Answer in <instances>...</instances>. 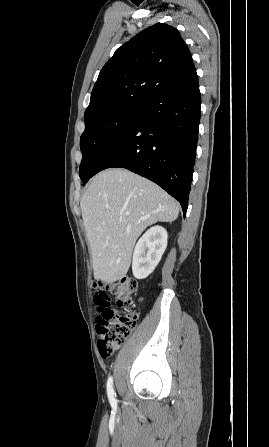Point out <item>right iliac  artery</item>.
<instances>
[{
  "instance_id": "obj_1",
  "label": "right iliac artery",
  "mask_w": 269,
  "mask_h": 447,
  "mask_svg": "<svg viewBox=\"0 0 269 447\" xmlns=\"http://www.w3.org/2000/svg\"><path fill=\"white\" fill-rule=\"evenodd\" d=\"M107 394H108L109 402H110L112 408L116 409V407H117V402L115 399L116 393L114 392V389H113L112 377H109V379L107 381Z\"/></svg>"
}]
</instances>
